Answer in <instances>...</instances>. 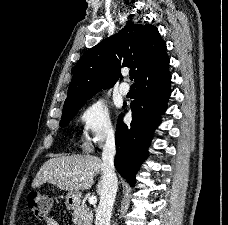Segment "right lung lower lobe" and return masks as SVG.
<instances>
[{
	"mask_svg": "<svg viewBox=\"0 0 228 225\" xmlns=\"http://www.w3.org/2000/svg\"><path fill=\"white\" fill-rule=\"evenodd\" d=\"M169 57L164 55L144 70L136 80L137 96L131 103L132 122L128 126L119 116L115 136L117 154L114 165L119 174L134 186L135 174L148 156L147 147L160 115L167 108L171 75Z\"/></svg>",
	"mask_w": 228,
	"mask_h": 225,
	"instance_id": "right-lung-lower-lobe-1",
	"label": "right lung lower lobe"
}]
</instances>
